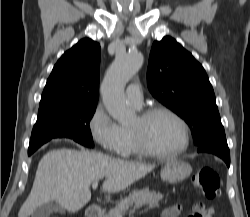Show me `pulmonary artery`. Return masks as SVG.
Instances as JSON below:
<instances>
[{"mask_svg": "<svg viewBox=\"0 0 250 217\" xmlns=\"http://www.w3.org/2000/svg\"><path fill=\"white\" fill-rule=\"evenodd\" d=\"M126 95L129 102L136 108H140L143 101V93L138 83H131L126 89Z\"/></svg>", "mask_w": 250, "mask_h": 217, "instance_id": "pulmonary-artery-1", "label": "pulmonary artery"}]
</instances>
